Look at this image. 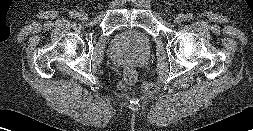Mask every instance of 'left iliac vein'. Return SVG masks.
Here are the masks:
<instances>
[{
  "instance_id": "obj_1",
  "label": "left iliac vein",
  "mask_w": 253,
  "mask_h": 131,
  "mask_svg": "<svg viewBox=\"0 0 253 131\" xmlns=\"http://www.w3.org/2000/svg\"><path fill=\"white\" fill-rule=\"evenodd\" d=\"M184 19H185V16L182 15V14H179V15H176V16L174 17V22H175V23H181V22L184 21Z\"/></svg>"
}]
</instances>
